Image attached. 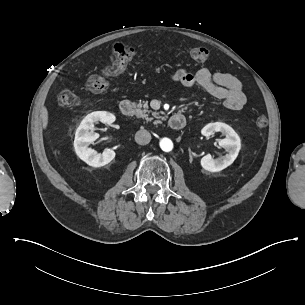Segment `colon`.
<instances>
[{"label":"colon","mask_w":305,"mask_h":305,"mask_svg":"<svg viewBox=\"0 0 305 305\" xmlns=\"http://www.w3.org/2000/svg\"><path fill=\"white\" fill-rule=\"evenodd\" d=\"M138 51L135 46H119L114 54V62L106 67L99 68L92 73L87 79L86 88L90 94L103 93L108 89V80L122 72ZM187 55L198 62L206 63L209 61V52L204 47H189L186 50ZM59 105L63 107H73L79 103V98L71 90H63L57 97ZM268 119L264 114L256 118V124L259 128L264 129L267 126Z\"/></svg>","instance_id":"colon-1"}]
</instances>
